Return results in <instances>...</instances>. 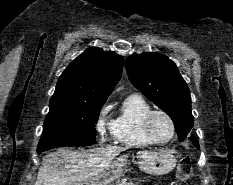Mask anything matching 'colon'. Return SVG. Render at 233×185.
Returning <instances> with one entry per match:
<instances>
[{
	"mask_svg": "<svg viewBox=\"0 0 233 185\" xmlns=\"http://www.w3.org/2000/svg\"><path fill=\"white\" fill-rule=\"evenodd\" d=\"M193 174V165L189 157H183L179 160L176 169V177L180 182H185Z\"/></svg>",
	"mask_w": 233,
	"mask_h": 185,
	"instance_id": "5ec220e1",
	"label": "colon"
}]
</instances>
